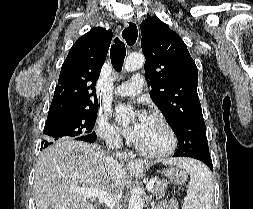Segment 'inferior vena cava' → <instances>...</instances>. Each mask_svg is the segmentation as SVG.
<instances>
[{
	"label": "inferior vena cava",
	"instance_id": "602c4592",
	"mask_svg": "<svg viewBox=\"0 0 253 209\" xmlns=\"http://www.w3.org/2000/svg\"><path fill=\"white\" fill-rule=\"evenodd\" d=\"M105 142H106V145L109 150L119 149L122 145V138L117 131H110L107 134V136L105 137ZM107 163H108V170L110 171V173L119 170L118 162L115 161L113 158L108 157ZM116 178H119V174L116 175ZM114 185H115V187H118L119 182H115ZM120 192H119V194H120ZM119 194L116 197H119ZM117 209H119V208H117Z\"/></svg>",
	"mask_w": 253,
	"mask_h": 209
}]
</instances>
